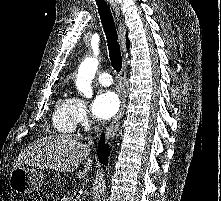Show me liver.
<instances>
[{"label": "liver", "mask_w": 221, "mask_h": 201, "mask_svg": "<svg viewBox=\"0 0 221 201\" xmlns=\"http://www.w3.org/2000/svg\"><path fill=\"white\" fill-rule=\"evenodd\" d=\"M91 149L70 137L49 135L35 140L18 156L14 167L21 165L50 169L61 172H71L87 159L82 172L77 173L79 179L85 178L92 169Z\"/></svg>", "instance_id": "1"}]
</instances>
